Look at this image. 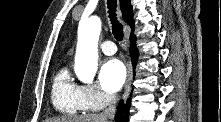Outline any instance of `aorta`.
Here are the masks:
<instances>
[{"label": "aorta", "instance_id": "aorta-1", "mask_svg": "<svg viewBox=\"0 0 221 122\" xmlns=\"http://www.w3.org/2000/svg\"><path fill=\"white\" fill-rule=\"evenodd\" d=\"M100 31L101 20L98 16L82 20L79 24L74 70L84 83H92L97 71Z\"/></svg>", "mask_w": 221, "mask_h": 122}]
</instances>
